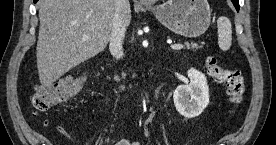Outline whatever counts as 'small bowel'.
I'll list each match as a JSON object with an SVG mask.
<instances>
[{"label":"small bowel","instance_id":"small-bowel-1","mask_svg":"<svg viewBox=\"0 0 276 145\" xmlns=\"http://www.w3.org/2000/svg\"><path fill=\"white\" fill-rule=\"evenodd\" d=\"M117 145H140V143L132 139H122L117 143Z\"/></svg>","mask_w":276,"mask_h":145}]
</instances>
